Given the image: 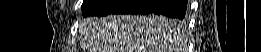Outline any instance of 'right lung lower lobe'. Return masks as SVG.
<instances>
[{
    "label": "right lung lower lobe",
    "mask_w": 261,
    "mask_h": 52,
    "mask_svg": "<svg viewBox=\"0 0 261 52\" xmlns=\"http://www.w3.org/2000/svg\"><path fill=\"white\" fill-rule=\"evenodd\" d=\"M187 0H106L103 4L83 15L105 16L108 14H159L183 19Z\"/></svg>",
    "instance_id": "98d812e1"
}]
</instances>
